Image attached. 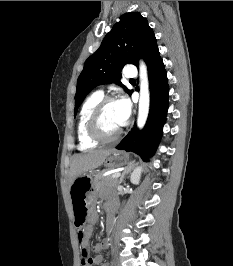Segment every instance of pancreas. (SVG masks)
Returning a JSON list of instances; mask_svg holds the SVG:
<instances>
[{"mask_svg": "<svg viewBox=\"0 0 233 266\" xmlns=\"http://www.w3.org/2000/svg\"><path fill=\"white\" fill-rule=\"evenodd\" d=\"M118 183L117 178H112V175L104 177L102 173H97L93 181V185L97 191H101L108 187H115Z\"/></svg>", "mask_w": 233, "mask_h": 266, "instance_id": "pancreas-1", "label": "pancreas"}]
</instances>
